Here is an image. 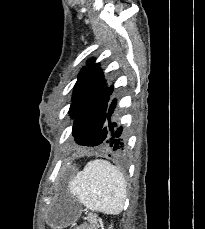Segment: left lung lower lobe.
Returning <instances> with one entry per match:
<instances>
[{
	"instance_id": "left-lung-lower-lobe-1",
	"label": "left lung lower lobe",
	"mask_w": 205,
	"mask_h": 229,
	"mask_svg": "<svg viewBox=\"0 0 205 229\" xmlns=\"http://www.w3.org/2000/svg\"><path fill=\"white\" fill-rule=\"evenodd\" d=\"M116 107V101L113 100L110 105H108L106 112V119L108 123L104 128L93 136L96 137V142L103 141L102 150L109 154V156L121 158L125 155V138L122 133V127H119L116 122H111L110 117L113 114V110Z\"/></svg>"
}]
</instances>
